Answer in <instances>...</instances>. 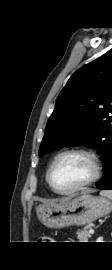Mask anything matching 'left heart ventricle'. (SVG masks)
<instances>
[{
    "mask_svg": "<svg viewBox=\"0 0 112 270\" xmlns=\"http://www.w3.org/2000/svg\"><path fill=\"white\" fill-rule=\"evenodd\" d=\"M92 166L81 155H66L59 159L51 173L53 185L59 190L71 189L90 178Z\"/></svg>",
    "mask_w": 112,
    "mask_h": 270,
    "instance_id": "1",
    "label": "left heart ventricle"
}]
</instances>
